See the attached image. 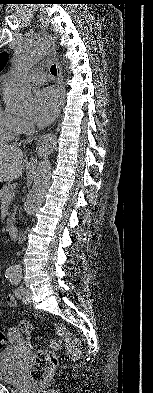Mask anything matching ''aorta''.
Masks as SVG:
<instances>
[{
	"mask_svg": "<svg viewBox=\"0 0 153 393\" xmlns=\"http://www.w3.org/2000/svg\"><path fill=\"white\" fill-rule=\"evenodd\" d=\"M56 42L52 34L39 32L26 36L14 51L13 66L15 71L24 72L48 54L53 43ZM65 61L63 60V63ZM3 99L8 111L23 113L32 110L34 92L31 86L23 80H11L3 87ZM56 146V138L46 135L39 139L36 148L38 165L35 170L32 186L24 203L27 215H32L42 205L47 189L50 185L51 162L50 154ZM14 274L20 271L17 265L11 268Z\"/></svg>",
	"mask_w": 153,
	"mask_h": 393,
	"instance_id": "aorta-1",
	"label": "aorta"
}]
</instances>
